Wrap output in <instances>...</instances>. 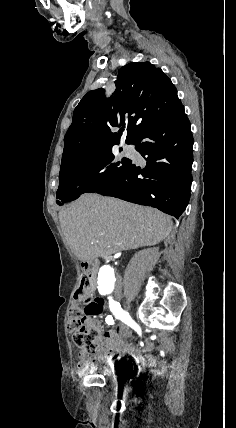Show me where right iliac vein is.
<instances>
[{
  "mask_svg": "<svg viewBox=\"0 0 236 428\" xmlns=\"http://www.w3.org/2000/svg\"><path fill=\"white\" fill-rule=\"evenodd\" d=\"M119 300H120V301H123V300H124V297H123V296H120V297H119ZM128 336H132V331H127V334H124V335L121 337V340H122V341H125V340L128 338Z\"/></svg>",
  "mask_w": 236,
  "mask_h": 428,
  "instance_id": "obj_1",
  "label": "right iliac vein"
}]
</instances>
